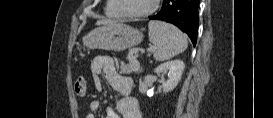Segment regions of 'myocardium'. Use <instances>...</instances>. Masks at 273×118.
<instances>
[{
  "instance_id": "obj_1",
  "label": "myocardium",
  "mask_w": 273,
  "mask_h": 118,
  "mask_svg": "<svg viewBox=\"0 0 273 118\" xmlns=\"http://www.w3.org/2000/svg\"><path fill=\"white\" fill-rule=\"evenodd\" d=\"M123 1L124 0H116L117 6L120 9V11L122 12V14L125 17L130 18V19H138V18L148 17L157 9L158 3H159V0H153V3L149 9H147L143 12H139V13H131L126 10L125 4Z\"/></svg>"
}]
</instances>
